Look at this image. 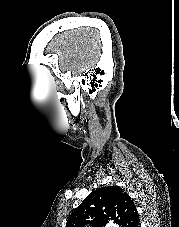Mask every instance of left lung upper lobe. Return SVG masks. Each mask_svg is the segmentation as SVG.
<instances>
[{"instance_id": "left-lung-upper-lobe-1", "label": "left lung upper lobe", "mask_w": 179, "mask_h": 227, "mask_svg": "<svg viewBox=\"0 0 179 227\" xmlns=\"http://www.w3.org/2000/svg\"><path fill=\"white\" fill-rule=\"evenodd\" d=\"M90 224L105 227H138V211L129 195L119 186L101 187L90 193L71 213L66 227H85Z\"/></svg>"}]
</instances>
